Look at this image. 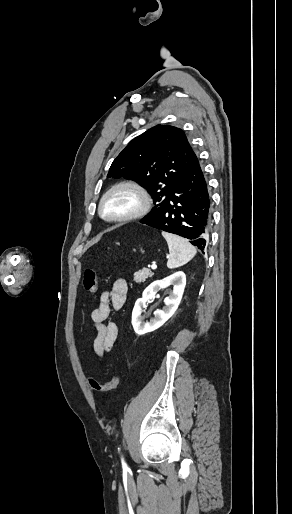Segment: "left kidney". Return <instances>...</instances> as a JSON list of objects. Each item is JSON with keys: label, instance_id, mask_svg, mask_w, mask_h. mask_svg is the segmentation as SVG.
<instances>
[{"label": "left kidney", "instance_id": "obj_1", "mask_svg": "<svg viewBox=\"0 0 292 514\" xmlns=\"http://www.w3.org/2000/svg\"><path fill=\"white\" fill-rule=\"evenodd\" d=\"M167 286H173V290L169 298H165L163 310H155V318H151L150 322H144L142 310L144 306H146V302L155 298V294H157L161 288H167ZM185 286L186 276L184 272H175V274L164 278V280L152 282V284L144 290L142 298H139V300L135 302L132 312V326L138 336H143V334H148V332H154V330L161 328V326L173 316L181 302Z\"/></svg>", "mask_w": 292, "mask_h": 514}]
</instances>
